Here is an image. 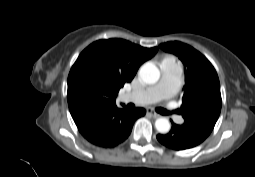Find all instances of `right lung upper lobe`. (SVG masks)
Listing matches in <instances>:
<instances>
[{
	"mask_svg": "<svg viewBox=\"0 0 255 177\" xmlns=\"http://www.w3.org/2000/svg\"><path fill=\"white\" fill-rule=\"evenodd\" d=\"M157 50V47L144 48L123 39L98 40L89 45L79 55L68 76L67 99L72 117L115 105L120 88L132 81L139 66ZM86 60L95 61L105 70L104 79L96 88L74 73V69Z\"/></svg>",
	"mask_w": 255,
	"mask_h": 177,
	"instance_id": "obj_1",
	"label": "right lung upper lobe"
}]
</instances>
